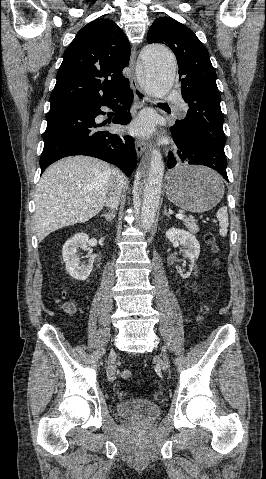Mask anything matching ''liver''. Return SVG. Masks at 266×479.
<instances>
[{
  "mask_svg": "<svg viewBox=\"0 0 266 479\" xmlns=\"http://www.w3.org/2000/svg\"><path fill=\"white\" fill-rule=\"evenodd\" d=\"M114 170L106 162L88 156L68 157L48 167L35 195L38 240L97 215L106 202Z\"/></svg>",
  "mask_w": 266,
  "mask_h": 479,
  "instance_id": "1",
  "label": "liver"
}]
</instances>
